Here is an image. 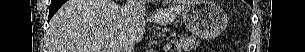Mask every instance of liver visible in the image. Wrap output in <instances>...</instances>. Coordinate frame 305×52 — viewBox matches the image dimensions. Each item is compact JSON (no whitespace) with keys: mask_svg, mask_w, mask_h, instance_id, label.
I'll use <instances>...</instances> for the list:
<instances>
[{"mask_svg":"<svg viewBox=\"0 0 305 52\" xmlns=\"http://www.w3.org/2000/svg\"><path fill=\"white\" fill-rule=\"evenodd\" d=\"M192 2L159 10L147 22L171 23ZM145 14L127 21L112 0H69L53 16L48 31L49 52H117L120 41H141Z\"/></svg>","mask_w":305,"mask_h":52,"instance_id":"6515ba94","label":"liver"}]
</instances>
